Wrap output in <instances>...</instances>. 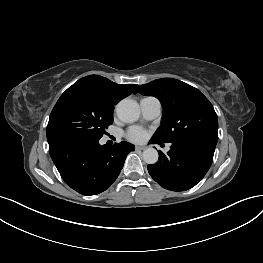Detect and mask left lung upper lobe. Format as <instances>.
I'll return each instance as SVG.
<instances>
[{"mask_svg": "<svg viewBox=\"0 0 263 263\" xmlns=\"http://www.w3.org/2000/svg\"><path fill=\"white\" fill-rule=\"evenodd\" d=\"M142 95L159 99L161 126L152 139L162 143L198 141L217 144L218 119L210 101L195 87L164 78L137 87Z\"/></svg>", "mask_w": 263, "mask_h": 263, "instance_id": "left-lung-upper-lobe-1", "label": "left lung upper lobe"}]
</instances>
